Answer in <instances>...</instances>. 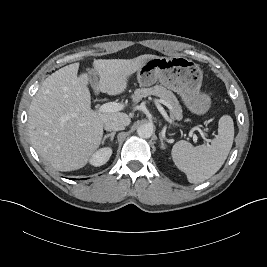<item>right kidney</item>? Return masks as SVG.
<instances>
[{
  "label": "right kidney",
  "mask_w": 267,
  "mask_h": 267,
  "mask_svg": "<svg viewBox=\"0 0 267 267\" xmlns=\"http://www.w3.org/2000/svg\"><path fill=\"white\" fill-rule=\"evenodd\" d=\"M112 155V149L110 147L102 148L96 151L90 158V164L98 167L107 163Z\"/></svg>",
  "instance_id": "obj_1"
}]
</instances>
